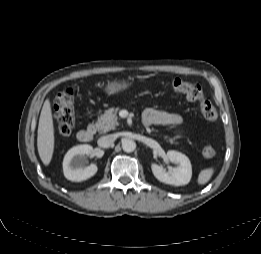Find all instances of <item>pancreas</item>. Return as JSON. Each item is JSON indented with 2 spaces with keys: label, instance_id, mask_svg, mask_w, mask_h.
Returning <instances> with one entry per match:
<instances>
[{
  "label": "pancreas",
  "instance_id": "1",
  "mask_svg": "<svg viewBox=\"0 0 261 254\" xmlns=\"http://www.w3.org/2000/svg\"><path fill=\"white\" fill-rule=\"evenodd\" d=\"M117 111L118 108L105 111V113L100 118H98L97 122L95 123V129L101 133L115 129L119 125L117 121ZM165 139L172 144H178L176 138H169L168 136H165Z\"/></svg>",
  "mask_w": 261,
  "mask_h": 254
}]
</instances>
